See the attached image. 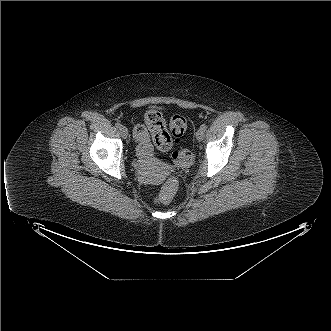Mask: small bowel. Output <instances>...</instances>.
Returning a JSON list of instances; mask_svg holds the SVG:
<instances>
[{
    "label": "small bowel",
    "mask_w": 331,
    "mask_h": 331,
    "mask_svg": "<svg viewBox=\"0 0 331 331\" xmlns=\"http://www.w3.org/2000/svg\"><path fill=\"white\" fill-rule=\"evenodd\" d=\"M134 138L137 142V152L140 158L142 159H148L152 155V146L149 141V135H147V138L145 141H142L139 136L134 131Z\"/></svg>",
    "instance_id": "obj_1"
}]
</instances>
